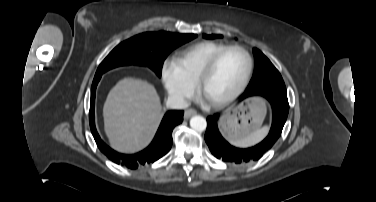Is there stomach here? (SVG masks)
I'll list each match as a JSON object with an SVG mask.
<instances>
[{
	"label": "stomach",
	"instance_id": "obj_1",
	"mask_svg": "<svg viewBox=\"0 0 376 202\" xmlns=\"http://www.w3.org/2000/svg\"><path fill=\"white\" fill-rule=\"evenodd\" d=\"M266 114L263 103L247 102L232 108L221 120L225 136L230 141H237L256 132L261 127Z\"/></svg>",
	"mask_w": 376,
	"mask_h": 202
}]
</instances>
